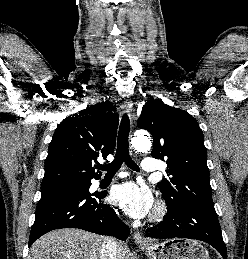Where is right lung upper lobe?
I'll return each mask as SVG.
<instances>
[{"mask_svg":"<svg viewBox=\"0 0 248 259\" xmlns=\"http://www.w3.org/2000/svg\"><path fill=\"white\" fill-rule=\"evenodd\" d=\"M115 109L109 102L98 103L57 126L41 185L99 178L94 171L97 157L106 158L115 148L118 115L111 112Z\"/></svg>","mask_w":248,"mask_h":259,"instance_id":"cb5924a9","label":"right lung upper lobe"}]
</instances>
